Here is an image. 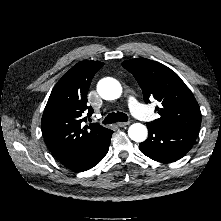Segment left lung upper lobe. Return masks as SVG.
Returning a JSON list of instances; mask_svg holds the SVG:
<instances>
[{"instance_id":"obj_1","label":"left lung upper lobe","mask_w":221,"mask_h":221,"mask_svg":"<svg viewBox=\"0 0 221 221\" xmlns=\"http://www.w3.org/2000/svg\"><path fill=\"white\" fill-rule=\"evenodd\" d=\"M133 74L143 91L144 101L154 97L160 106V118L151 124L160 128L198 133L201 125L200 107L181 78L165 65L146 58L122 63Z\"/></svg>"}]
</instances>
